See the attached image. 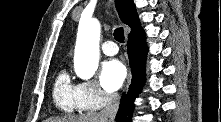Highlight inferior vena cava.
I'll return each instance as SVG.
<instances>
[{"label":"inferior vena cava","mask_w":221,"mask_h":122,"mask_svg":"<svg viewBox=\"0 0 221 122\" xmlns=\"http://www.w3.org/2000/svg\"><path fill=\"white\" fill-rule=\"evenodd\" d=\"M120 97L117 93L109 94L105 108L100 112L101 117L109 119V122H114L116 113L119 108Z\"/></svg>","instance_id":"obj_1"}]
</instances>
